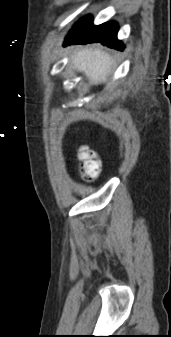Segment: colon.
<instances>
[{"label":"colon","instance_id":"5ec220e1","mask_svg":"<svg viewBox=\"0 0 171 337\" xmlns=\"http://www.w3.org/2000/svg\"><path fill=\"white\" fill-rule=\"evenodd\" d=\"M77 158L83 174L89 178H96L102 167L101 159L98 154L87 146H80L77 149Z\"/></svg>","mask_w":171,"mask_h":337}]
</instances>
